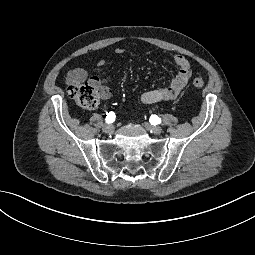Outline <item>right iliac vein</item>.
<instances>
[{"label":"right iliac vein","instance_id":"right-iliac-vein-1","mask_svg":"<svg viewBox=\"0 0 255 255\" xmlns=\"http://www.w3.org/2000/svg\"><path fill=\"white\" fill-rule=\"evenodd\" d=\"M103 131L107 134H112L114 132V126L111 124H105L103 126Z\"/></svg>","mask_w":255,"mask_h":255}]
</instances>
